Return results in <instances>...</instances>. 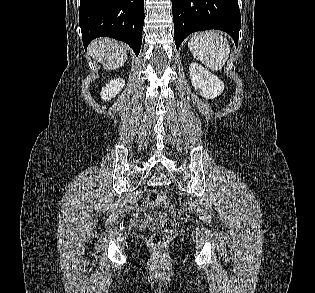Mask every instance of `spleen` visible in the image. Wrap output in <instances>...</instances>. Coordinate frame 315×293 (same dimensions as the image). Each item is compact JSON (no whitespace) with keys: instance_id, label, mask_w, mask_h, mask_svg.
<instances>
[{"instance_id":"obj_1","label":"spleen","mask_w":315,"mask_h":293,"mask_svg":"<svg viewBox=\"0 0 315 293\" xmlns=\"http://www.w3.org/2000/svg\"><path fill=\"white\" fill-rule=\"evenodd\" d=\"M188 47L193 57L212 71L220 70L230 53L227 39L215 31H205L193 35L188 42Z\"/></svg>"}]
</instances>
